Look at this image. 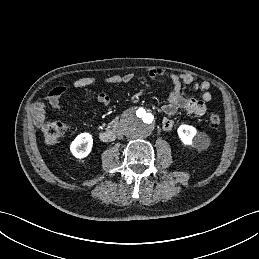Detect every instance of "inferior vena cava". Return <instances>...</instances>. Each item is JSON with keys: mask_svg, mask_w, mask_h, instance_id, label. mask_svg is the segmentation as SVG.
I'll return each instance as SVG.
<instances>
[{"mask_svg": "<svg viewBox=\"0 0 259 259\" xmlns=\"http://www.w3.org/2000/svg\"><path fill=\"white\" fill-rule=\"evenodd\" d=\"M123 135H124V132L122 130H119L117 133L118 138L121 139Z\"/></svg>", "mask_w": 259, "mask_h": 259, "instance_id": "inferior-vena-cava-1", "label": "inferior vena cava"}]
</instances>
